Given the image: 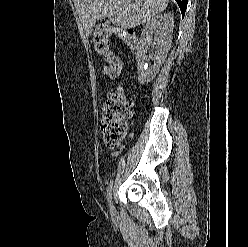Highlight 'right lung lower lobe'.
I'll return each mask as SVG.
<instances>
[{
  "label": "right lung lower lobe",
  "mask_w": 248,
  "mask_h": 247,
  "mask_svg": "<svg viewBox=\"0 0 248 247\" xmlns=\"http://www.w3.org/2000/svg\"><path fill=\"white\" fill-rule=\"evenodd\" d=\"M176 2L178 3V5L180 7V10H181V13H182V17H184L185 11H186V8H187V2H188V0H176Z\"/></svg>",
  "instance_id": "98d812e1"
}]
</instances>
